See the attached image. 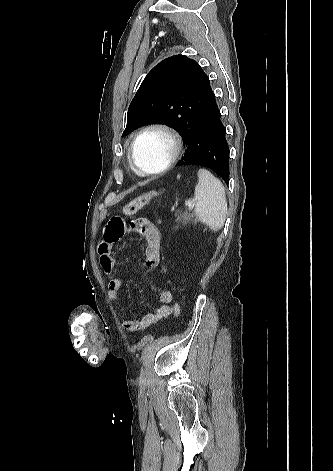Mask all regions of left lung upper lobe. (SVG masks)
Instances as JSON below:
<instances>
[{
    "label": "left lung upper lobe",
    "instance_id": "5c2ea615",
    "mask_svg": "<svg viewBox=\"0 0 333 471\" xmlns=\"http://www.w3.org/2000/svg\"><path fill=\"white\" fill-rule=\"evenodd\" d=\"M212 94L208 76L185 55L162 60L145 77L128 109L122 137L151 123H166L187 143Z\"/></svg>",
    "mask_w": 333,
    "mask_h": 471
}]
</instances>
